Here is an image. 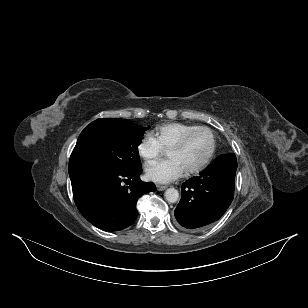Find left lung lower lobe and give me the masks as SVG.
Returning <instances> with one entry per match:
<instances>
[{
	"instance_id": "1",
	"label": "left lung lower lobe",
	"mask_w": 308,
	"mask_h": 308,
	"mask_svg": "<svg viewBox=\"0 0 308 308\" xmlns=\"http://www.w3.org/2000/svg\"><path fill=\"white\" fill-rule=\"evenodd\" d=\"M236 169L235 154H224L199 176L183 183L182 197L174 212L177 222L198 231L223 216L234 197Z\"/></svg>"
}]
</instances>
